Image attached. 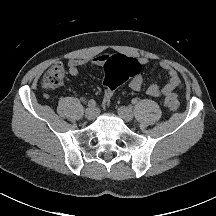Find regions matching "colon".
I'll use <instances>...</instances> for the list:
<instances>
[{"label": "colon", "instance_id": "5ec220e1", "mask_svg": "<svg viewBox=\"0 0 216 216\" xmlns=\"http://www.w3.org/2000/svg\"><path fill=\"white\" fill-rule=\"evenodd\" d=\"M141 65L137 62L126 58L118 57L109 61L105 67V94L102 104L107 107L111 104L115 91L118 87L126 83L131 77L138 75ZM65 71L61 63H55L44 75L42 87L46 91L58 88L64 79ZM164 105L170 112H174L179 107V100L175 94H167L164 98Z\"/></svg>", "mask_w": 216, "mask_h": 216}]
</instances>
